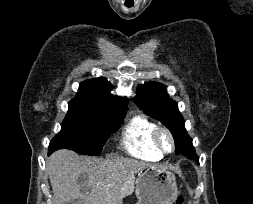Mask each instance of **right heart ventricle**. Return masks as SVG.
Returning a JSON list of instances; mask_svg holds the SVG:
<instances>
[{"instance_id":"right-heart-ventricle-1","label":"right heart ventricle","mask_w":253,"mask_h":204,"mask_svg":"<svg viewBox=\"0 0 253 204\" xmlns=\"http://www.w3.org/2000/svg\"><path fill=\"white\" fill-rule=\"evenodd\" d=\"M156 124L144 115H135L124 126L121 142L124 149L144 160L158 161L163 155L153 142Z\"/></svg>"}]
</instances>
